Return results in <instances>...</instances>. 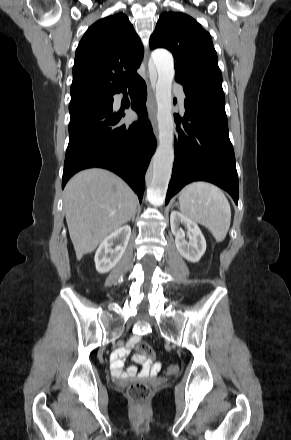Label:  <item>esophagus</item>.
<instances>
[{"mask_svg": "<svg viewBox=\"0 0 291 440\" xmlns=\"http://www.w3.org/2000/svg\"><path fill=\"white\" fill-rule=\"evenodd\" d=\"M147 57H148V51H146L145 59H147ZM147 107L149 111L150 121L154 129V133L157 134V120H156L157 109H156L154 93L150 87H148Z\"/></svg>", "mask_w": 291, "mask_h": 440, "instance_id": "esophagus-1", "label": "esophagus"}]
</instances>
